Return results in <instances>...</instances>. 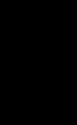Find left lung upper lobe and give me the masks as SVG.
Returning a JSON list of instances; mask_svg holds the SVG:
<instances>
[{
    "label": "left lung upper lobe",
    "instance_id": "left-lung-upper-lobe-1",
    "mask_svg": "<svg viewBox=\"0 0 77 125\" xmlns=\"http://www.w3.org/2000/svg\"><path fill=\"white\" fill-rule=\"evenodd\" d=\"M65 24H66V25L63 26V28H64V33H65V34H64V38H65V41L67 42L69 39H71V34H70V32L75 30L76 25H75V23H74L73 18H72V19L70 18L69 21L66 22Z\"/></svg>",
    "mask_w": 77,
    "mask_h": 125
}]
</instances>
